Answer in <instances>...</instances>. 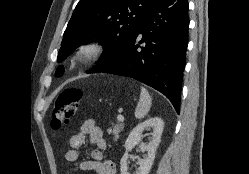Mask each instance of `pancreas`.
<instances>
[{"mask_svg":"<svg viewBox=\"0 0 249 174\" xmlns=\"http://www.w3.org/2000/svg\"><path fill=\"white\" fill-rule=\"evenodd\" d=\"M124 125L121 123L114 124L112 128L108 129V134L113 135V140L117 141L119 138V133L123 130Z\"/></svg>","mask_w":249,"mask_h":174,"instance_id":"cf45deb5","label":"pancreas"}]
</instances>
